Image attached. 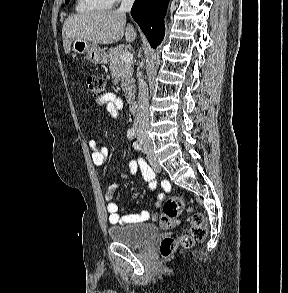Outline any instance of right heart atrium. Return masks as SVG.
Here are the masks:
<instances>
[{"label": "right heart atrium", "mask_w": 288, "mask_h": 293, "mask_svg": "<svg viewBox=\"0 0 288 293\" xmlns=\"http://www.w3.org/2000/svg\"><path fill=\"white\" fill-rule=\"evenodd\" d=\"M113 3H115V2H118V1H120V0H111Z\"/></svg>", "instance_id": "d8ad5b80"}]
</instances>
